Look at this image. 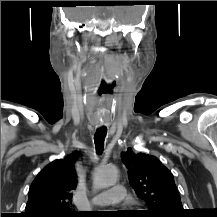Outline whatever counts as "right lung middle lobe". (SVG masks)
I'll list each match as a JSON object with an SVG mask.
<instances>
[{
  "label": "right lung middle lobe",
  "instance_id": "right-lung-middle-lobe-1",
  "mask_svg": "<svg viewBox=\"0 0 217 217\" xmlns=\"http://www.w3.org/2000/svg\"><path fill=\"white\" fill-rule=\"evenodd\" d=\"M77 215H62V216H59V217H76Z\"/></svg>",
  "mask_w": 217,
  "mask_h": 217
}]
</instances>
